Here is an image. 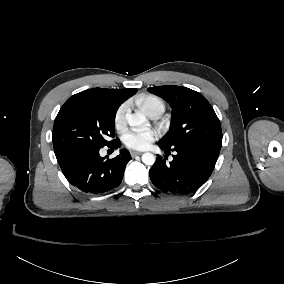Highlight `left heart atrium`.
I'll return each instance as SVG.
<instances>
[{"instance_id": "left-heart-atrium-1", "label": "left heart atrium", "mask_w": 284, "mask_h": 284, "mask_svg": "<svg viewBox=\"0 0 284 284\" xmlns=\"http://www.w3.org/2000/svg\"><path fill=\"white\" fill-rule=\"evenodd\" d=\"M156 139V133L153 130L130 129L123 137L124 143L129 148L144 149Z\"/></svg>"}]
</instances>
